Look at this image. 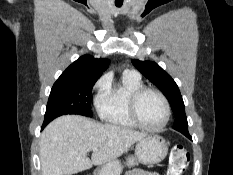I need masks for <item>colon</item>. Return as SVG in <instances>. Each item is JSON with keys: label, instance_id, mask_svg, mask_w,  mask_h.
I'll use <instances>...</instances> for the list:
<instances>
[{"label": "colon", "instance_id": "1", "mask_svg": "<svg viewBox=\"0 0 233 175\" xmlns=\"http://www.w3.org/2000/svg\"><path fill=\"white\" fill-rule=\"evenodd\" d=\"M190 161V153L183 145H175L169 153L166 175H182Z\"/></svg>", "mask_w": 233, "mask_h": 175}]
</instances>
